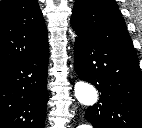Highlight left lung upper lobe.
<instances>
[{"instance_id":"obj_1","label":"left lung upper lobe","mask_w":142,"mask_h":128,"mask_svg":"<svg viewBox=\"0 0 142 128\" xmlns=\"http://www.w3.org/2000/svg\"><path fill=\"white\" fill-rule=\"evenodd\" d=\"M71 24L80 34L137 57L125 21L114 0H75Z\"/></svg>"}]
</instances>
